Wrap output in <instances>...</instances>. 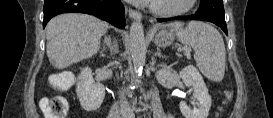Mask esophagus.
Masks as SVG:
<instances>
[{
	"mask_svg": "<svg viewBox=\"0 0 273 118\" xmlns=\"http://www.w3.org/2000/svg\"><path fill=\"white\" fill-rule=\"evenodd\" d=\"M128 13L132 19L141 20L143 18L142 14L136 10L129 9Z\"/></svg>",
	"mask_w": 273,
	"mask_h": 118,
	"instance_id": "34e87169",
	"label": "esophagus"
}]
</instances>
